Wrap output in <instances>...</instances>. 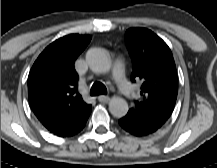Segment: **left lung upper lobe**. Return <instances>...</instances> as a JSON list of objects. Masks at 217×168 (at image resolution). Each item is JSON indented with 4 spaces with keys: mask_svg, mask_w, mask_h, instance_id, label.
<instances>
[{
    "mask_svg": "<svg viewBox=\"0 0 217 168\" xmlns=\"http://www.w3.org/2000/svg\"><path fill=\"white\" fill-rule=\"evenodd\" d=\"M126 39L133 58L132 80L142 82V99L128 114L163 126L174 110L178 93L172 52L160 37L145 28L128 29Z\"/></svg>",
    "mask_w": 217,
    "mask_h": 168,
    "instance_id": "left-lung-upper-lobe-1",
    "label": "left lung upper lobe"
}]
</instances>
